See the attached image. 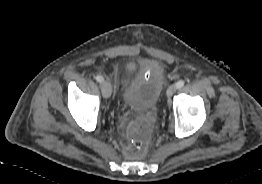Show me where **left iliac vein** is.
I'll use <instances>...</instances> for the list:
<instances>
[{
  "label": "left iliac vein",
  "mask_w": 262,
  "mask_h": 184,
  "mask_svg": "<svg viewBox=\"0 0 262 184\" xmlns=\"http://www.w3.org/2000/svg\"><path fill=\"white\" fill-rule=\"evenodd\" d=\"M176 89H177L176 85H174V84L170 85V86L168 87V89H167V92H166L167 97H168V98L172 97L173 94L175 93Z\"/></svg>",
  "instance_id": "1"
}]
</instances>
